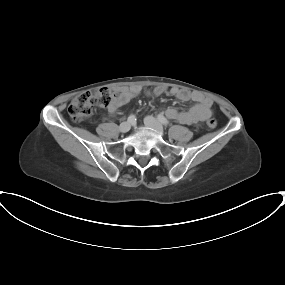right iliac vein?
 <instances>
[{
	"mask_svg": "<svg viewBox=\"0 0 285 285\" xmlns=\"http://www.w3.org/2000/svg\"><path fill=\"white\" fill-rule=\"evenodd\" d=\"M131 124L129 122H122L119 126V131L122 133H126L130 130Z\"/></svg>",
	"mask_w": 285,
	"mask_h": 285,
	"instance_id": "63e3f726",
	"label": "right iliac vein"
}]
</instances>
